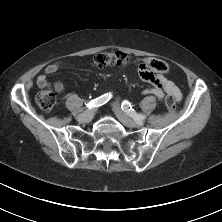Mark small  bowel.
I'll list each match as a JSON object with an SVG mask.
<instances>
[{"label":"small bowel","instance_id":"1","mask_svg":"<svg viewBox=\"0 0 222 222\" xmlns=\"http://www.w3.org/2000/svg\"><path fill=\"white\" fill-rule=\"evenodd\" d=\"M63 66L64 63L62 62L51 63L46 67L45 73L46 75H54ZM137 76L139 79L152 83L153 85V87L145 89L143 91V94H152L155 95L159 100H163L164 99L163 91H164L168 95L174 97L176 102L181 100L182 94L180 89L177 87V85L174 82L168 80L164 75L156 74L154 72L148 71L147 69L143 68L138 71ZM37 83L38 86L41 88L47 86L48 82L46 76L44 75L40 76L38 78ZM55 87L59 92H62L64 90V86L61 82H57L55 84Z\"/></svg>","mask_w":222,"mask_h":222}]
</instances>
